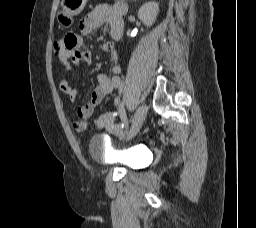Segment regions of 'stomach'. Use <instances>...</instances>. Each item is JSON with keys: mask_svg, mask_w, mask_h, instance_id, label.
<instances>
[{"mask_svg": "<svg viewBox=\"0 0 256 228\" xmlns=\"http://www.w3.org/2000/svg\"><path fill=\"white\" fill-rule=\"evenodd\" d=\"M88 0H62L61 11L57 15L58 24L69 28L73 24V17L78 15L85 7Z\"/></svg>", "mask_w": 256, "mask_h": 228, "instance_id": "1", "label": "stomach"}]
</instances>
